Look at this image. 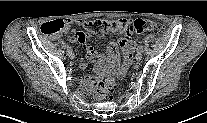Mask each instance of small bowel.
<instances>
[{"mask_svg": "<svg viewBox=\"0 0 207 123\" xmlns=\"http://www.w3.org/2000/svg\"><path fill=\"white\" fill-rule=\"evenodd\" d=\"M112 22H113V25L111 26L109 31L111 32L122 31V27L119 24V20L112 21ZM71 23L80 25L82 22L79 20L63 21L64 25L61 30V33L66 35L67 40L82 44L86 52V55L90 60L103 61L104 60L103 55L99 54L91 45L86 43L87 35L83 32H74L71 29ZM122 49L124 51L123 63L121 66H118L119 54H118L117 44L114 42H111L107 47V61L110 64L111 68L116 70L119 75H124L128 67L131 65L132 55L135 50V43L131 41H126L125 44L122 46ZM79 66L80 68L84 69L87 67V62L81 61L79 63Z\"/></svg>", "mask_w": 207, "mask_h": 123, "instance_id": "obj_1", "label": "small bowel"}]
</instances>
